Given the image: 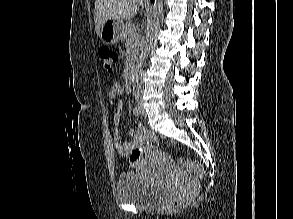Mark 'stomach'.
Returning a JSON list of instances; mask_svg holds the SVG:
<instances>
[{"label":"stomach","mask_w":293,"mask_h":219,"mask_svg":"<svg viewBox=\"0 0 293 219\" xmlns=\"http://www.w3.org/2000/svg\"><path fill=\"white\" fill-rule=\"evenodd\" d=\"M146 7V6H144ZM125 30L124 22L120 19H110L102 26L99 38L103 44L111 45L122 39Z\"/></svg>","instance_id":"stomach-1"}]
</instances>
